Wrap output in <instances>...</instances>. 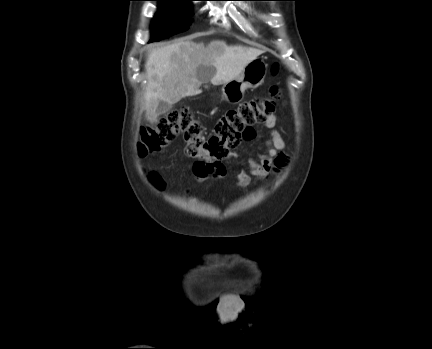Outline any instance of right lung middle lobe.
<instances>
[{
  "instance_id": "obj_1",
  "label": "right lung middle lobe",
  "mask_w": 432,
  "mask_h": 349,
  "mask_svg": "<svg viewBox=\"0 0 432 349\" xmlns=\"http://www.w3.org/2000/svg\"><path fill=\"white\" fill-rule=\"evenodd\" d=\"M158 12L154 16L150 42L167 38L172 34L188 30L192 13L188 1L191 0H156Z\"/></svg>"
}]
</instances>
